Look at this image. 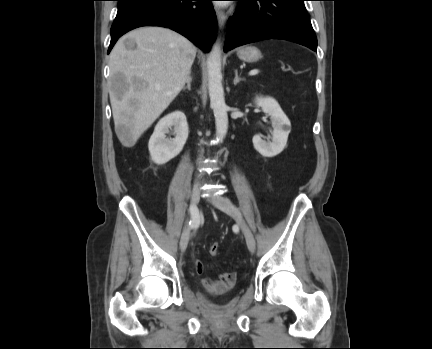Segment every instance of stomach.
Returning a JSON list of instances; mask_svg holds the SVG:
<instances>
[{"label": "stomach", "mask_w": 432, "mask_h": 349, "mask_svg": "<svg viewBox=\"0 0 432 349\" xmlns=\"http://www.w3.org/2000/svg\"><path fill=\"white\" fill-rule=\"evenodd\" d=\"M237 56L240 60L248 63L257 62L262 57L260 50L254 46H244L238 48Z\"/></svg>", "instance_id": "1"}]
</instances>
